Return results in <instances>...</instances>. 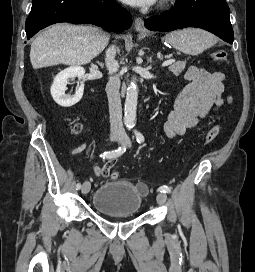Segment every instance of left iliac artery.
Listing matches in <instances>:
<instances>
[{
	"label": "left iliac artery",
	"mask_w": 255,
	"mask_h": 272,
	"mask_svg": "<svg viewBox=\"0 0 255 272\" xmlns=\"http://www.w3.org/2000/svg\"><path fill=\"white\" fill-rule=\"evenodd\" d=\"M134 134L136 137V140L138 143H142L144 142V136L142 135V133H140L139 131H137L136 129H134ZM159 192H164V193H170L171 192V188L164 185L158 188Z\"/></svg>",
	"instance_id": "obj_1"
}]
</instances>
